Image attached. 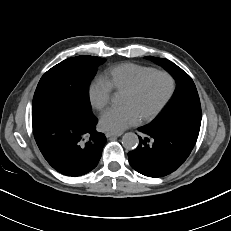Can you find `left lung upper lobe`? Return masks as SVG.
Segmentation results:
<instances>
[{
  "instance_id": "obj_1",
  "label": "left lung upper lobe",
  "mask_w": 231,
  "mask_h": 231,
  "mask_svg": "<svg viewBox=\"0 0 231 231\" xmlns=\"http://www.w3.org/2000/svg\"><path fill=\"white\" fill-rule=\"evenodd\" d=\"M170 72L176 80V91L166 111L154 126H172L179 124L201 125V105L197 89L191 77L176 64L167 59L146 57Z\"/></svg>"
}]
</instances>
